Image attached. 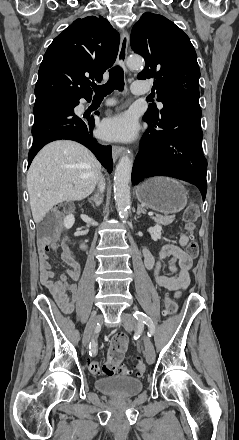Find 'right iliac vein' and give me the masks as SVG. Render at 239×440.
<instances>
[{
	"mask_svg": "<svg viewBox=\"0 0 239 440\" xmlns=\"http://www.w3.org/2000/svg\"><path fill=\"white\" fill-rule=\"evenodd\" d=\"M102 318H103L102 315L93 316L86 325L82 339L84 346H86L89 343L91 335L94 332L96 325L98 324V322L102 320Z\"/></svg>",
	"mask_w": 239,
	"mask_h": 440,
	"instance_id": "1",
	"label": "right iliac vein"
}]
</instances>
